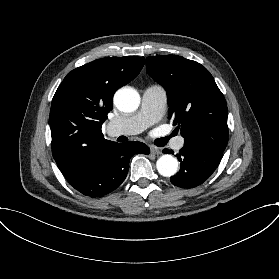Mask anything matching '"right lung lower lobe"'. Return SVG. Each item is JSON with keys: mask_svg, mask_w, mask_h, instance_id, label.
I'll use <instances>...</instances> for the list:
<instances>
[{"mask_svg": "<svg viewBox=\"0 0 279 279\" xmlns=\"http://www.w3.org/2000/svg\"><path fill=\"white\" fill-rule=\"evenodd\" d=\"M149 152V147L140 142L114 143L108 147L100 164L71 186L92 198L104 196L125 180L130 158L134 154H149Z\"/></svg>", "mask_w": 279, "mask_h": 279, "instance_id": "obj_1", "label": "right lung lower lobe"}]
</instances>
